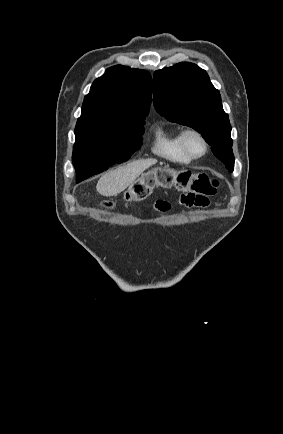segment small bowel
I'll list each match as a JSON object with an SVG mask.
<instances>
[{"instance_id": "small-bowel-1", "label": "small bowel", "mask_w": 283, "mask_h": 434, "mask_svg": "<svg viewBox=\"0 0 283 434\" xmlns=\"http://www.w3.org/2000/svg\"><path fill=\"white\" fill-rule=\"evenodd\" d=\"M180 202L188 207H206L209 204L207 197L191 192L182 194ZM153 209L158 212H166L170 209V203L162 199L157 200L153 205Z\"/></svg>"}]
</instances>
